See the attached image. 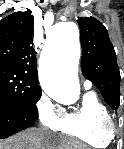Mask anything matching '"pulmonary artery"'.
Instances as JSON below:
<instances>
[{
  "label": "pulmonary artery",
  "instance_id": "obj_1",
  "mask_svg": "<svg viewBox=\"0 0 124 149\" xmlns=\"http://www.w3.org/2000/svg\"><path fill=\"white\" fill-rule=\"evenodd\" d=\"M85 87H86V88H89V87H90V83H88V82L85 83Z\"/></svg>",
  "mask_w": 124,
  "mask_h": 149
}]
</instances>
